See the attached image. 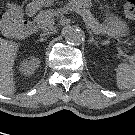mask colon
I'll list each match as a JSON object with an SVG mask.
<instances>
[{
  "instance_id": "1",
  "label": "colon",
  "mask_w": 135,
  "mask_h": 135,
  "mask_svg": "<svg viewBox=\"0 0 135 135\" xmlns=\"http://www.w3.org/2000/svg\"><path fill=\"white\" fill-rule=\"evenodd\" d=\"M124 13L130 20H135V0H127L124 5Z\"/></svg>"
}]
</instances>
